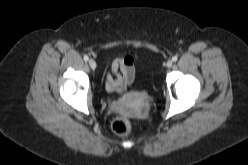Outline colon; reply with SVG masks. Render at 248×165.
Here are the masks:
<instances>
[{"label": "colon", "mask_w": 248, "mask_h": 165, "mask_svg": "<svg viewBox=\"0 0 248 165\" xmlns=\"http://www.w3.org/2000/svg\"><path fill=\"white\" fill-rule=\"evenodd\" d=\"M113 131L120 136H127L131 133L132 125L130 120L125 116H117L112 121Z\"/></svg>", "instance_id": "5ec220e1"}]
</instances>
